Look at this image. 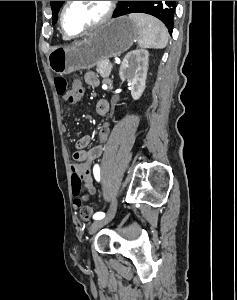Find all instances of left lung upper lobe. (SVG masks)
<instances>
[{"label": "left lung upper lobe", "instance_id": "5c2ea615", "mask_svg": "<svg viewBox=\"0 0 237 300\" xmlns=\"http://www.w3.org/2000/svg\"><path fill=\"white\" fill-rule=\"evenodd\" d=\"M118 9L114 17L140 12L153 15L160 19L168 28L170 34L173 30V17L175 13L176 2L170 1L164 4V1H118ZM64 1H51L53 24L56 22V16L59 8Z\"/></svg>", "mask_w": 237, "mask_h": 300}]
</instances>
